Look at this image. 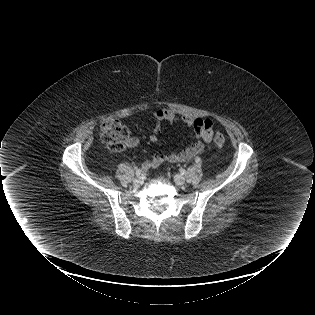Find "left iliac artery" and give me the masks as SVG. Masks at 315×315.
Masks as SVG:
<instances>
[{
  "label": "left iliac artery",
  "mask_w": 315,
  "mask_h": 315,
  "mask_svg": "<svg viewBox=\"0 0 315 315\" xmlns=\"http://www.w3.org/2000/svg\"><path fill=\"white\" fill-rule=\"evenodd\" d=\"M200 161H201V159H200L199 157H196V158H195V162H196V163H200ZM183 174H184V171H183Z\"/></svg>",
  "instance_id": "1"
}]
</instances>
